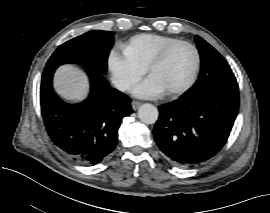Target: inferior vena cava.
Listing matches in <instances>:
<instances>
[{"mask_svg": "<svg viewBox=\"0 0 270 213\" xmlns=\"http://www.w3.org/2000/svg\"><path fill=\"white\" fill-rule=\"evenodd\" d=\"M114 86L116 89L120 90V91H126L128 89H130L132 87V84L128 81H124V80H116L114 82Z\"/></svg>", "mask_w": 270, "mask_h": 213, "instance_id": "obj_1", "label": "inferior vena cava"}]
</instances>
